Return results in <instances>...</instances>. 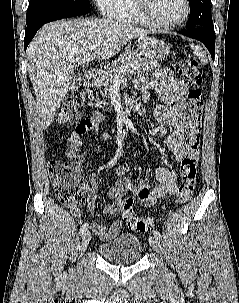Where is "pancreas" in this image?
I'll return each mask as SVG.
<instances>
[{"label":"pancreas","mask_w":239,"mask_h":303,"mask_svg":"<svg viewBox=\"0 0 239 303\" xmlns=\"http://www.w3.org/2000/svg\"><path fill=\"white\" fill-rule=\"evenodd\" d=\"M157 67L156 62L142 58L137 51H124L103 71L99 85L104 87L106 93H111L114 84L122 80L125 75L135 72H149Z\"/></svg>","instance_id":"pancreas-1"}]
</instances>
